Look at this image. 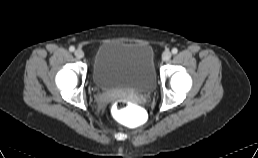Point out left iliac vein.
<instances>
[{"label": "left iliac vein", "instance_id": "obj_1", "mask_svg": "<svg viewBox=\"0 0 258 158\" xmlns=\"http://www.w3.org/2000/svg\"><path fill=\"white\" fill-rule=\"evenodd\" d=\"M171 58V52L170 51H165L163 54H162V59L164 61H169Z\"/></svg>", "mask_w": 258, "mask_h": 158}]
</instances>
